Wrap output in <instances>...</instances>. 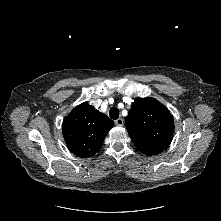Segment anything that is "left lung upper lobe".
<instances>
[{"label":"left lung upper lobe","mask_w":221,"mask_h":221,"mask_svg":"<svg viewBox=\"0 0 221 221\" xmlns=\"http://www.w3.org/2000/svg\"><path fill=\"white\" fill-rule=\"evenodd\" d=\"M125 122L132 142L146 155L161 153L172 141L173 116L153 97L136 99Z\"/></svg>","instance_id":"5c2ea615"}]
</instances>
